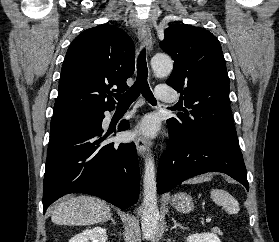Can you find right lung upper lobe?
Wrapping results in <instances>:
<instances>
[{
  "label": "right lung upper lobe",
  "instance_id": "1",
  "mask_svg": "<svg viewBox=\"0 0 279 242\" xmlns=\"http://www.w3.org/2000/svg\"><path fill=\"white\" fill-rule=\"evenodd\" d=\"M134 64V44L125 31L108 24L85 30L66 53L53 117L113 110L116 102L110 89H128Z\"/></svg>",
  "mask_w": 279,
  "mask_h": 242
}]
</instances>
